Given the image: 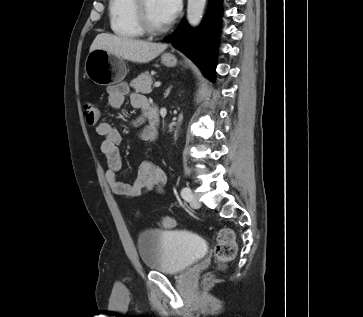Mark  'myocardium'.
I'll list each match as a JSON object with an SVG mask.
<instances>
[{
	"instance_id": "myocardium-1",
	"label": "myocardium",
	"mask_w": 363,
	"mask_h": 317,
	"mask_svg": "<svg viewBox=\"0 0 363 317\" xmlns=\"http://www.w3.org/2000/svg\"><path fill=\"white\" fill-rule=\"evenodd\" d=\"M146 0H134V16L138 26L141 30L149 35H159L168 30V25L157 27L152 25L150 22L146 8H145Z\"/></svg>"
}]
</instances>
